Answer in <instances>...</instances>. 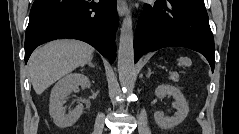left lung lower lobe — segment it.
I'll return each mask as SVG.
<instances>
[{"instance_id":"0a47b994","label":"left lung lower lobe","mask_w":239,"mask_h":134,"mask_svg":"<svg viewBox=\"0 0 239 134\" xmlns=\"http://www.w3.org/2000/svg\"><path fill=\"white\" fill-rule=\"evenodd\" d=\"M181 46L203 54L214 70V39L204 0H157L145 4L135 37V62L163 47Z\"/></svg>"}]
</instances>
